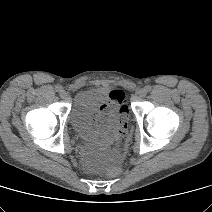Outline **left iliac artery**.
<instances>
[{"label":"left iliac artery","instance_id":"obj_1","mask_svg":"<svg viewBox=\"0 0 212 212\" xmlns=\"http://www.w3.org/2000/svg\"><path fill=\"white\" fill-rule=\"evenodd\" d=\"M145 89H146L147 92H150L152 88H151L150 85H147V86H145Z\"/></svg>","mask_w":212,"mask_h":212}]
</instances>
